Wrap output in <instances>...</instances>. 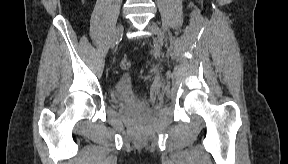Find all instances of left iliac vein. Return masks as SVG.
Wrapping results in <instances>:
<instances>
[{"mask_svg": "<svg viewBox=\"0 0 288 164\" xmlns=\"http://www.w3.org/2000/svg\"><path fill=\"white\" fill-rule=\"evenodd\" d=\"M148 28L153 33V35L155 36V40L158 42V44L163 45V43H164L163 31L155 23H150Z\"/></svg>", "mask_w": 288, "mask_h": 164, "instance_id": "left-iliac-vein-1", "label": "left iliac vein"}]
</instances>
